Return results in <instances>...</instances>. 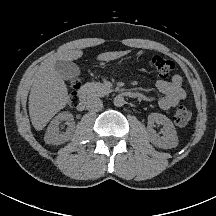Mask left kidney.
<instances>
[{"instance_id": "1", "label": "left kidney", "mask_w": 216, "mask_h": 216, "mask_svg": "<svg viewBox=\"0 0 216 216\" xmlns=\"http://www.w3.org/2000/svg\"><path fill=\"white\" fill-rule=\"evenodd\" d=\"M154 123L163 125L162 134L159 137L153 129ZM147 132L151 143L159 148L171 149L178 145V137L172 121L165 115L151 113L148 116Z\"/></svg>"}]
</instances>
